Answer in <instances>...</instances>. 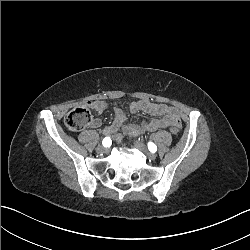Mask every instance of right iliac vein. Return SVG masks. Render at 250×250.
Instances as JSON below:
<instances>
[{
  "instance_id": "obj_1",
  "label": "right iliac vein",
  "mask_w": 250,
  "mask_h": 250,
  "mask_svg": "<svg viewBox=\"0 0 250 250\" xmlns=\"http://www.w3.org/2000/svg\"><path fill=\"white\" fill-rule=\"evenodd\" d=\"M96 150L99 152V153H103V152H107L108 149L105 148L103 145H98Z\"/></svg>"
}]
</instances>
